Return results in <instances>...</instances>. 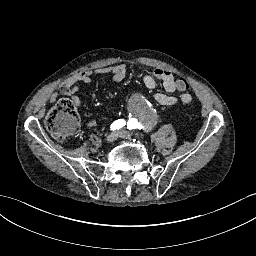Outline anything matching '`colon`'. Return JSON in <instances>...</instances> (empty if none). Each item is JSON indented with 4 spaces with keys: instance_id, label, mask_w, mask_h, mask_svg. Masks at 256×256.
<instances>
[{
    "instance_id": "colon-1",
    "label": "colon",
    "mask_w": 256,
    "mask_h": 256,
    "mask_svg": "<svg viewBox=\"0 0 256 256\" xmlns=\"http://www.w3.org/2000/svg\"><path fill=\"white\" fill-rule=\"evenodd\" d=\"M177 87L184 92L189 89V83L186 79L180 78ZM76 116L77 110L73 102L68 99L60 100L47 116L46 129L58 140L67 139L74 131Z\"/></svg>"
}]
</instances>
